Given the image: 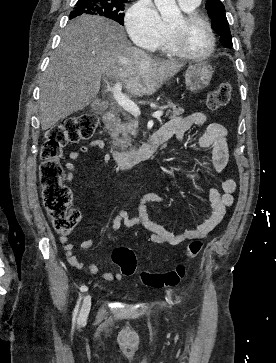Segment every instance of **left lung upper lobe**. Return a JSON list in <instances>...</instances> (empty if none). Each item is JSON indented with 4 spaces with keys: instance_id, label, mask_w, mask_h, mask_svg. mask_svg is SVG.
<instances>
[{
    "instance_id": "5c2ea615",
    "label": "left lung upper lobe",
    "mask_w": 276,
    "mask_h": 363,
    "mask_svg": "<svg viewBox=\"0 0 276 363\" xmlns=\"http://www.w3.org/2000/svg\"><path fill=\"white\" fill-rule=\"evenodd\" d=\"M206 9L212 19L213 30L220 35V41L225 47H232L229 24L225 15V8L220 0L207 1Z\"/></svg>"
}]
</instances>
